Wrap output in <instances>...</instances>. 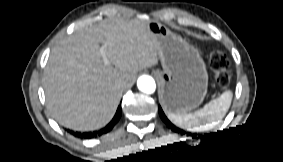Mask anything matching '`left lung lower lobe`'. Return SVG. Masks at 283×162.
Masks as SVG:
<instances>
[{
	"mask_svg": "<svg viewBox=\"0 0 283 162\" xmlns=\"http://www.w3.org/2000/svg\"><path fill=\"white\" fill-rule=\"evenodd\" d=\"M159 115H160L161 119H162L163 121H165V123H166L171 129H173V130H175V131H179V129L176 128L174 125H172V124L170 123V121L166 118V116H165V114L163 113V111H162V109H161L160 106H159Z\"/></svg>",
	"mask_w": 283,
	"mask_h": 162,
	"instance_id": "obj_1",
	"label": "left lung lower lobe"
}]
</instances>
